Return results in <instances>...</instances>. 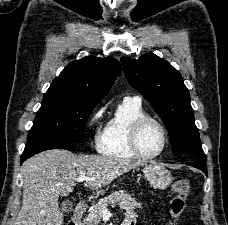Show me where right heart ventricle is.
<instances>
[{
    "label": "right heart ventricle",
    "instance_id": "obj_1",
    "mask_svg": "<svg viewBox=\"0 0 228 225\" xmlns=\"http://www.w3.org/2000/svg\"><path fill=\"white\" fill-rule=\"evenodd\" d=\"M144 116H147V114L142 104L122 100L116 107L112 118L98 136V151L103 155L114 158H139L131 147L130 134L134 122Z\"/></svg>",
    "mask_w": 228,
    "mask_h": 225
}]
</instances>
